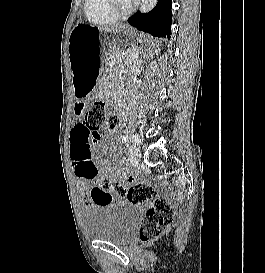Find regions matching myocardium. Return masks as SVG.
Masks as SVG:
<instances>
[{
  "label": "myocardium",
  "mask_w": 265,
  "mask_h": 273,
  "mask_svg": "<svg viewBox=\"0 0 265 273\" xmlns=\"http://www.w3.org/2000/svg\"><path fill=\"white\" fill-rule=\"evenodd\" d=\"M108 9L118 18H125L128 16L135 8V3L131 2L125 8H120L118 0H106Z\"/></svg>",
  "instance_id": "obj_1"
}]
</instances>
